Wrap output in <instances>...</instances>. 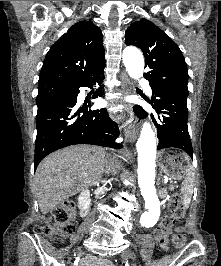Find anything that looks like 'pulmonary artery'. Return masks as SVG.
Returning <instances> with one entry per match:
<instances>
[{"label":"pulmonary artery","instance_id":"e3ab8cb5","mask_svg":"<svg viewBox=\"0 0 221 266\" xmlns=\"http://www.w3.org/2000/svg\"><path fill=\"white\" fill-rule=\"evenodd\" d=\"M145 88H146L147 92H148L149 94H151V88H150L148 85H146Z\"/></svg>","mask_w":221,"mask_h":266}]
</instances>
